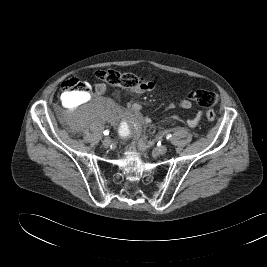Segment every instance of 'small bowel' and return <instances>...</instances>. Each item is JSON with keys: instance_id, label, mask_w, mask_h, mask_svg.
Listing matches in <instances>:
<instances>
[{"instance_id": "1", "label": "small bowel", "mask_w": 267, "mask_h": 267, "mask_svg": "<svg viewBox=\"0 0 267 267\" xmlns=\"http://www.w3.org/2000/svg\"><path fill=\"white\" fill-rule=\"evenodd\" d=\"M155 85L150 82L149 86L133 89L132 92L136 94H142L148 91L153 90ZM95 92L97 95H105L108 92V87L105 83H97L95 85ZM180 107L183 109H190L192 107V103L189 99H180L178 101H171L169 103L170 108ZM141 106L137 103L130 105L125 110H117L114 114L113 121L118 122L120 120H125L132 124L133 128H138L141 124L149 125L152 123V119L150 117H142L140 114ZM199 122V117L188 119L187 123L191 126L196 125Z\"/></svg>"}]
</instances>
